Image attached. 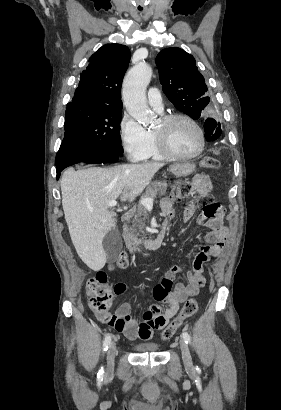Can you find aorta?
<instances>
[{
    "label": "aorta",
    "instance_id": "762f6f07",
    "mask_svg": "<svg viewBox=\"0 0 281 410\" xmlns=\"http://www.w3.org/2000/svg\"><path fill=\"white\" fill-rule=\"evenodd\" d=\"M152 77V68L138 63L126 75L123 85V101L128 113L144 126L153 122V114L146 100V87Z\"/></svg>",
    "mask_w": 281,
    "mask_h": 410
}]
</instances>
